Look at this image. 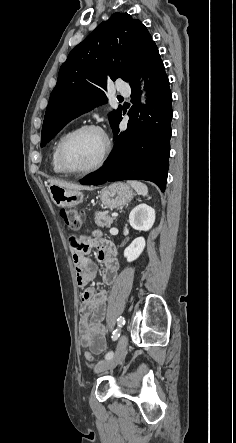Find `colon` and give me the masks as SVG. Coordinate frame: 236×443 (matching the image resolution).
Segmentation results:
<instances>
[{
	"instance_id": "1",
	"label": "colon",
	"mask_w": 236,
	"mask_h": 443,
	"mask_svg": "<svg viewBox=\"0 0 236 443\" xmlns=\"http://www.w3.org/2000/svg\"><path fill=\"white\" fill-rule=\"evenodd\" d=\"M60 216L64 220L65 224L73 230H79L85 220L84 212L74 209L62 210L60 212ZM84 358L88 363H90L93 361L94 356L92 352L86 351L84 353Z\"/></svg>"
}]
</instances>
